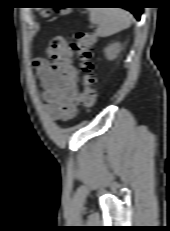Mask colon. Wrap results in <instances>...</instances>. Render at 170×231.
<instances>
[{"mask_svg": "<svg viewBox=\"0 0 170 231\" xmlns=\"http://www.w3.org/2000/svg\"><path fill=\"white\" fill-rule=\"evenodd\" d=\"M96 42V36L93 32H78L75 40L70 43L74 58L78 62V68L82 73L83 91L80 95V104L89 110L97 102V93L93 87L94 75L92 65V49Z\"/></svg>", "mask_w": 170, "mask_h": 231, "instance_id": "colon-1", "label": "colon"}]
</instances>
